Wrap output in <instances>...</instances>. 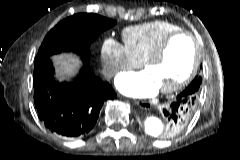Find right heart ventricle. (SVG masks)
<instances>
[{"mask_svg":"<svg viewBox=\"0 0 240 160\" xmlns=\"http://www.w3.org/2000/svg\"><path fill=\"white\" fill-rule=\"evenodd\" d=\"M179 30L181 28L171 22L158 20L124 29L122 40L131 58L140 63L166 35Z\"/></svg>","mask_w":240,"mask_h":160,"instance_id":"e07e8e85","label":"right heart ventricle"}]
</instances>
